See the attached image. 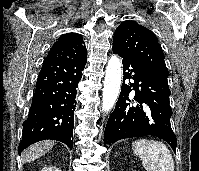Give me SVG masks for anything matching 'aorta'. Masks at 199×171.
Masks as SVG:
<instances>
[{"label":"aorta","instance_id":"762f6f07","mask_svg":"<svg viewBox=\"0 0 199 171\" xmlns=\"http://www.w3.org/2000/svg\"><path fill=\"white\" fill-rule=\"evenodd\" d=\"M122 81V64L117 56H112L108 62L105 71V80L102 97V110L104 112L110 109L116 103Z\"/></svg>","mask_w":199,"mask_h":171}]
</instances>
